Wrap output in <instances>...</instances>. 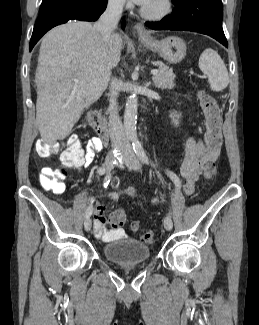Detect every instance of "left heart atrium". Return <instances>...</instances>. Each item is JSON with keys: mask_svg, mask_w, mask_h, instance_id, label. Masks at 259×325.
I'll list each match as a JSON object with an SVG mask.
<instances>
[{"mask_svg": "<svg viewBox=\"0 0 259 325\" xmlns=\"http://www.w3.org/2000/svg\"><path fill=\"white\" fill-rule=\"evenodd\" d=\"M135 3L147 6L152 0H133Z\"/></svg>", "mask_w": 259, "mask_h": 325, "instance_id": "39dd6f15", "label": "left heart atrium"}]
</instances>
